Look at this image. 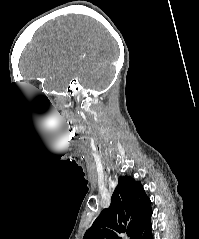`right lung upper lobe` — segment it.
Returning <instances> with one entry per match:
<instances>
[{"mask_svg": "<svg viewBox=\"0 0 199 239\" xmlns=\"http://www.w3.org/2000/svg\"><path fill=\"white\" fill-rule=\"evenodd\" d=\"M151 215V201L141 182L129 176L120 177L110 207L100 213L83 239H122L117 234L129 229L132 239Z\"/></svg>", "mask_w": 199, "mask_h": 239, "instance_id": "1", "label": "right lung upper lobe"}]
</instances>
